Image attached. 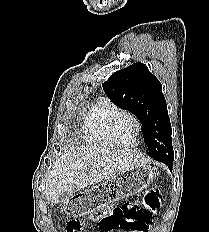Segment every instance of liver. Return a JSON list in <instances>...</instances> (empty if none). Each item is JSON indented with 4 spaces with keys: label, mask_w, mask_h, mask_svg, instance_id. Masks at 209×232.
<instances>
[{
    "label": "liver",
    "mask_w": 209,
    "mask_h": 232,
    "mask_svg": "<svg viewBox=\"0 0 209 232\" xmlns=\"http://www.w3.org/2000/svg\"><path fill=\"white\" fill-rule=\"evenodd\" d=\"M148 160L136 150L84 146L65 151L53 164L45 187L48 202L64 193H74L109 181Z\"/></svg>",
    "instance_id": "1"
}]
</instances>
